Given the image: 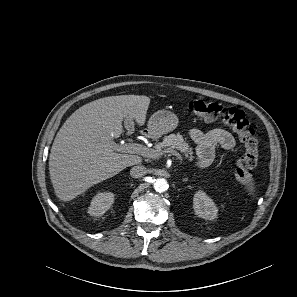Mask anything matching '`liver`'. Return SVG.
I'll return each mask as SVG.
<instances>
[{
    "label": "liver",
    "mask_w": 297,
    "mask_h": 297,
    "mask_svg": "<svg viewBox=\"0 0 297 297\" xmlns=\"http://www.w3.org/2000/svg\"><path fill=\"white\" fill-rule=\"evenodd\" d=\"M150 98L119 95L97 99L77 109L62 125L49 156L50 179L56 196L70 201L91 186L126 167L140 164L138 155L116 152L125 118L145 124Z\"/></svg>",
    "instance_id": "6515ba94"
}]
</instances>
